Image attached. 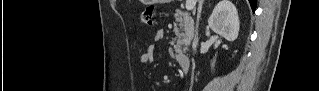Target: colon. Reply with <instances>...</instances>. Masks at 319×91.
Instances as JSON below:
<instances>
[{
  "label": "colon",
  "instance_id": "5ec220e1",
  "mask_svg": "<svg viewBox=\"0 0 319 91\" xmlns=\"http://www.w3.org/2000/svg\"><path fill=\"white\" fill-rule=\"evenodd\" d=\"M154 12L155 8L153 6H147L140 15L141 22L147 26H152Z\"/></svg>",
  "mask_w": 319,
  "mask_h": 91
}]
</instances>
